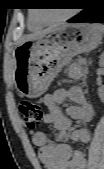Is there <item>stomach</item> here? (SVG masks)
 Listing matches in <instances>:
<instances>
[{"label":"stomach","instance_id":"stomach-1","mask_svg":"<svg viewBox=\"0 0 104 169\" xmlns=\"http://www.w3.org/2000/svg\"><path fill=\"white\" fill-rule=\"evenodd\" d=\"M102 38L101 26L80 23L61 25L23 41L15 51V88L29 98L41 96L73 56L95 49Z\"/></svg>","mask_w":104,"mask_h":169}]
</instances>
